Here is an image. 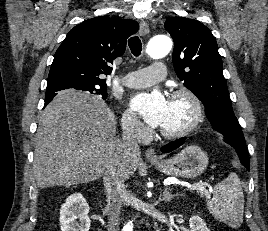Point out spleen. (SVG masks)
<instances>
[{"label": "spleen", "instance_id": "1", "mask_svg": "<svg viewBox=\"0 0 268 231\" xmlns=\"http://www.w3.org/2000/svg\"><path fill=\"white\" fill-rule=\"evenodd\" d=\"M210 213L219 221L238 228L243 222L244 195L241 182L235 173L213 188V197L207 202Z\"/></svg>", "mask_w": 268, "mask_h": 231}]
</instances>
